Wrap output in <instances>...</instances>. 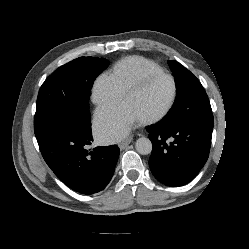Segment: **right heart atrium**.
<instances>
[{
    "label": "right heart atrium",
    "instance_id": "1",
    "mask_svg": "<svg viewBox=\"0 0 249 249\" xmlns=\"http://www.w3.org/2000/svg\"><path fill=\"white\" fill-rule=\"evenodd\" d=\"M123 95L124 91L110 73L99 75L94 81L91 91V99L98 107L118 101Z\"/></svg>",
    "mask_w": 249,
    "mask_h": 249
}]
</instances>
